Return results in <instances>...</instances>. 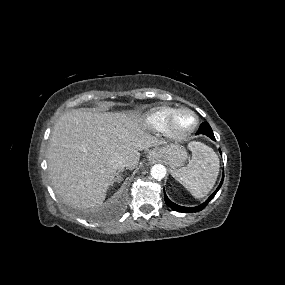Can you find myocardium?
<instances>
[{
    "instance_id": "1",
    "label": "myocardium",
    "mask_w": 285,
    "mask_h": 285,
    "mask_svg": "<svg viewBox=\"0 0 285 285\" xmlns=\"http://www.w3.org/2000/svg\"><path fill=\"white\" fill-rule=\"evenodd\" d=\"M184 116H190L192 119L191 124L183 128L179 125V120ZM198 116L189 109H178L173 112L170 119L167 122L166 130L169 136L175 139H184L190 136L198 127Z\"/></svg>"
}]
</instances>
